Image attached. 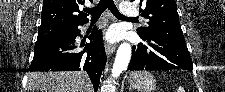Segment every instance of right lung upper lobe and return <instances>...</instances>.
Listing matches in <instances>:
<instances>
[{"label":"right lung upper lobe","instance_id":"obj_1","mask_svg":"<svg viewBox=\"0 0 225 92\" xmlns=\"http://www.w3.org/2000/svg\"><path fill=\"white\" fill-rule=\"evenodd\" d=\"M84 2L85 0H43L40 27H77L87 23V14L79 9Z\"/></svg>","mask_w":225,"mask_h":92}]
</instances>
